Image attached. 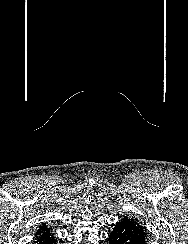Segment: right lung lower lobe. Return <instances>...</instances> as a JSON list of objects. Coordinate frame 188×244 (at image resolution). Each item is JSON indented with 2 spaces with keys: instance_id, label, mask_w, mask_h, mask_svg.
<instances>
[{
  "instance_id": "98d812e1",
  "label": "right lung lower lobe",
  "mask_w": 188,
  "mask_h": 244,
  "mask_svg": "<svg viewBox=\"0 0 188 244\" xmlns=\"http://www.w3.org/2000/svg\"><path fill=\"white\" fill-rule=\"evenodd\" d=\"M34 239V244H57V240L54 238L53 235L50 233V229H47L46 227L42 228L37 232V235Z\"/></svg>"
}]
</instances>
